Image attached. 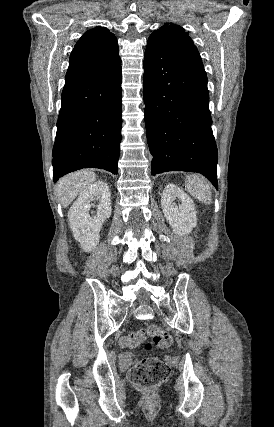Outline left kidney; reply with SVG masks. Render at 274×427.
<instances>
[{
  "label": "left kidney",
  "instance_id": "obj_1",
  "mask_svg": "<svg viewBox=\"0 0 274 427\" xmlns=\"http://www.w3.org/2000/svg\"><path fill=\"white\" fill-rule=\"evenodd\" d=\"M177 202H181V204H177ZM161 208L173 231L178 235L190 233L197 225L196 210L191 198L175 184L165 186L161 198Z\"/></svg>",
  "mask_w": 274,
  "mask_h": 427
}]
</instances>
